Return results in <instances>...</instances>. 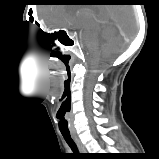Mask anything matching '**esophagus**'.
<instances>
[{
	"label": "esophagus",
	"instance_id": "obj_1",
	"mask_svg": "<svg viewBox=\"0 0 159 159\" xmlns=\"http://www.w3.org/2000/svg\"><path fill=\"white\" fill-rule=\"evenodd\" d=\"M73 139L75 141V143L77 144L79 150L82 152V153H85L86 152V149L85 147L83 146V144L80 142V140L78 139V137L76 135H73Z\"/></svg>",
	"mask_w": 159,
	"mask_h": 159
}]
</instances>
